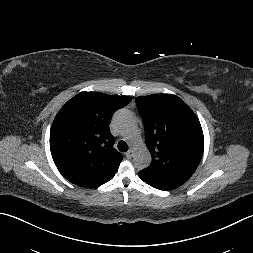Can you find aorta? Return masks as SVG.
Here are the masks:
<instances>
[{
  "label": "aorta",
  "mask_w": 253,
  "mask_h": 253,
  "mask_svg": "<svg viewBox=\"0 0 253 253\" xmlns=\"http://www.w3.org/2000/svg\"><path fill=\"white\" fill-rule=\"evenodd\" d=\"M114 121L135 148L133 160L136 168L142 170L148 167L151 162V155L138 133L133 116L129 112L119 111L115 115Z\"/></svg>",
  "instance_id": "762f6f07"
}]
</instances>
